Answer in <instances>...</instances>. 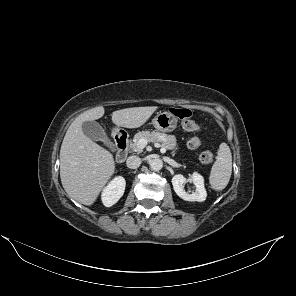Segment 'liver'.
I'll list each match as a JSON object with an SVG mask.
<instances>
[{
	"mask_svg": "<svg viewBox=\"0 0 296 296\" xmlns=\"http://www.w3.org/2000/svg\"><path fill=\"white\" fill-rule=\"evenodd\" d=\"M157 106L133 107L114 111L112 122L119 127H141ZM98 106L81 113L68 128L60 149V178L68 196L84 205H92L115 172L113 155L89 139L82 131L85 121L104 115Z\"/></svg>",
	"mask_w": 296,
	"mask_h": 296,
	"instance_id": "6515ba94",
	"label": "liver"
}]
</instances>
